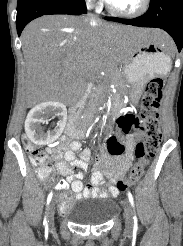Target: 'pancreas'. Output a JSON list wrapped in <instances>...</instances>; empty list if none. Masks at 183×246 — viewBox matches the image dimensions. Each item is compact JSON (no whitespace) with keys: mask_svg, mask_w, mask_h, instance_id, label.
<instances>
[{"mask_svg":"<svg viewBox=\"0 0 183 246\" xmlns=\"http://www.w3.org/2000/svg\"><path fill=\"white\" fill-rule=\"evenodd\" d=\"M97 95H98V90H96V91L92 94V96H91V102H92V103H93V98H96Z\"/></svg>","mask_w":183,"mask_h":246,"instance_id":"pancreas-1","label":"pancreas"}]
</instances>
